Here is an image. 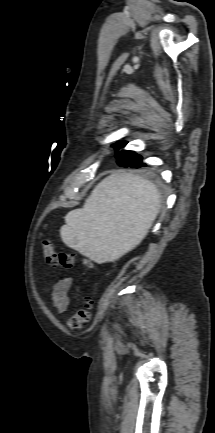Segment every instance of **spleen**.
<instances>
[{
  "instance_id": "3e777b00",
  "label": "spleen",
  "mask_w": 215,
  "mask_h": 433,
  "mask_svg": "<svg viewBox=\"0 0 215 433\" xmlns=\"http://www.w3.org/2000/svg\"><path fill=\"white\" fill-rule=\"evenodd\" d=\"M160 203V192L151 181L112 174L96 186L83 208L65 216L61 239L97 263L116 260L147 235Z\"/></svg>"
}]
</instances>
